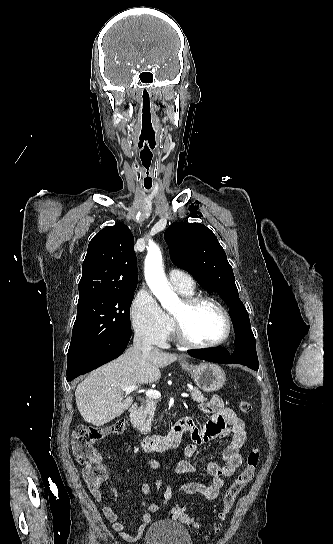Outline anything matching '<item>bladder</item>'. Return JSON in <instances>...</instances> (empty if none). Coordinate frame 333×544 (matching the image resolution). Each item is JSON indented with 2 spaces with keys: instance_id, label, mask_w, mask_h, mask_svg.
Returning <instances> with one entry per match:
<instances>
[{
  "instance_id": "bladder-1",
  "label": "bladder",
  "mask_w": 333,
  "mask_h": 544,
  "mask_svg": "<svg viewBox=\"0 0 333 544\" xmlns=\"http://www.w3.org/2000/svg\"><path fill=\"white\" fill-rule=\"evenodd\" d=\"M143 544H193L185 526L169 520L152 523L145 532Z\"/></svg>"
}]
</instances>
